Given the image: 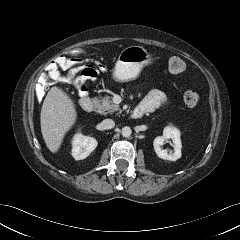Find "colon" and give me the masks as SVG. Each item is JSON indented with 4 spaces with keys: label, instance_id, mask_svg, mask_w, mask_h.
<instances>
[{
    "label": "colon",
    "instance_id": "obj_1",
    "mask_svg": "<svg viewBox=\"0 0 240 240\" xmlns=\"http://www.w3.org/2000/svg\"><path fill=\"white\" fill-rule=\"evenodd\" d=\"M82 54V50L74 49L57 57L65 70H70L69 77L78 90L82 89L84 82L95 74V64L91 60L81 58ZM168 68L171 73L180 74L186 69V63L179 57H172L168 62ZM183 98L188 107H195L199 102L198 93L192 89L186 90Z\"/></svg>",
    "mask_w": 240,
    "mask_h": 240
}]
</instances>
